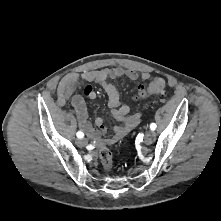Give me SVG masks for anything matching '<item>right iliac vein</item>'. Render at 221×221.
I'll use <instances>...</instances> for the list:
<instances>
[{
    "label": "right iliac vein",
    "instance_id": "right-iliac-vein-1",
    "mask_svg": "<svg viewBox=\"0 0 221 221\" xmlns=\"http://www.w3.org/2000/svg\"><path fill=\"white\" fill-rule=\"evenodd\" d=\"M77 145L80 147H84L85 145H87L88 141L86 139H78L76 141Z\"/></svg>",
    "mask_w": 221,
    "mask_h": 221
}]
</instances>
